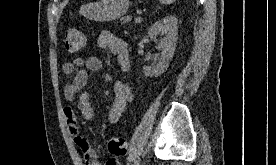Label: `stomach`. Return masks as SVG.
Here are the masks:
<instances>
[{
  "mask_svg": "<svg viewBox=\"0 0 276 165\" xmlns=\"http://www.w3.org/2000/svg\"><path fill=\"white\" fill-rule=\"evenodd\" d=\"M128 0H99L81 6L80 14L94 21H111L126 14Z\"/></svg>",
  "mask_w": 276,
  "mask_h": 165,
  "instance_id": "stomach-1",
  "label": "stomach"
}]
</instances>
